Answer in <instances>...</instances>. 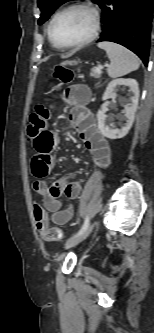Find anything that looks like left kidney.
I'll list each match as a JSON object with an SVG mask.
<instances>
[{
  "mask_svg": "<svg viewBox=\"0 0 154 333\" xmlns=\"http://www.w3.org/2000/svg\"><path fill=\"white\" fill-rule=\"evenodd\" d=\"M121 85L129 87V91L132 93L131 98L127 100V104L124 107V117L126 123L120 128H115L112 119L105 114L104 110L99 109L97 112L98 128L101 133L109 139H120L128 134L129 130L133 125L135 113L138 106L139 88L138 83L135 79L112 80L107 85L106 90L103 94V101L113 97L115 95V88Z\"/></svg>",
  "mask_w": 154,
  "mask_h": 333,
  "instance_id": "obj_1",
  "label": "left kidney"
}]
</instances>
